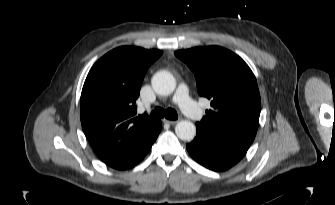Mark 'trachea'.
Segmentation results:
<instances>
[{
	"label": "trachea",
	"instance_id": "3493384b",
	"mask_svg": "<svg viewBox=\"0 0 335 205\" xmlns=\"http://www.w3.org/2000/svg\"><path fill=\"white\" fill-rule=\"evenodd\" d=\"M152 117L157 118H167L169 120H177L178 114L174 109L168 108L167 110H164L161 107H156L150 114Z\"/></svg>",
	"mask_w": 335,
	"mask_h": 205
}]
</instances>
